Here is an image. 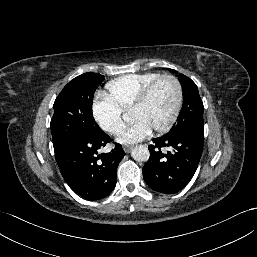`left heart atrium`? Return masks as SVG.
Returning <instances> with one entry per match:
<instances>
[{
  "label": "left heart atrium",
  "mask_w": 257,
  "mask_h": 257,
  "mask_svg": "<svg viewBox=\"0 0 257 257\" xmlns=\"http://www.w3.org/2000/svg\"><path fill=\"white\" fill-rule=\"evenodd\" d=\"M151 132L152 129L146 122L136 120L131 126L120 133L117 140L122 144H134L148 137Z\"/></svg>",
  "instance_id": "39dd6f15"
}]
</instances>
